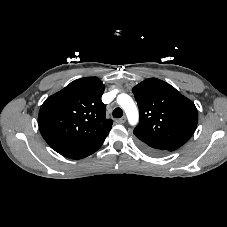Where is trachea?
I'll return each mask as SVG.
<instances>
[{
    "label": "trachea",
    "instance_id": "3493384b",
    "mask_svg": "<svg viewBox=\"0 0 227 227\" xmlns=\"http://www.w3.org/2000/svg\"><path fill=\"white\" fill-rule=\"evenodd\" d=\"M123 116V111L121 108H115L113 111V117L114 118H121Z\"/></svg>",
    "mask_w": 227,
    "mask_h": 227
}]
</instances>
